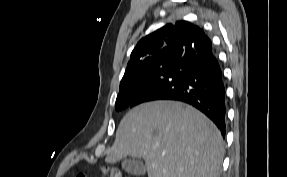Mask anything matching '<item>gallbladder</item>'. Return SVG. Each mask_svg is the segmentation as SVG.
<instances>
[{
    "instance_id": "1",
    "label": "gallbladder",
    "mask_w": 287,
    "mask_h": 177,
    "mask_svg": "<svg viewBox=\"0 0 287 177\" xmlns=\"http://www.w3.org/2000/svg\"><path fill=\"white\" fill-rule=\"evenodd\" d=\"M121 165L122 169L130 175L142 176L146 173L143 162L137 158H125Z\"/></svg>"
}]
</instances>
